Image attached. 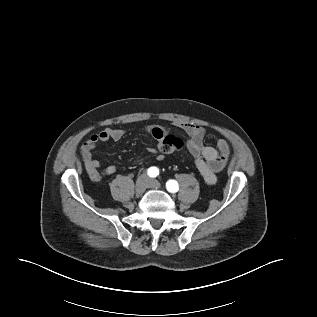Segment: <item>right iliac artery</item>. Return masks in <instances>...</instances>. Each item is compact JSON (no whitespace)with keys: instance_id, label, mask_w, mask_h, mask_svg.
Wrapping results in <instances>:
<instances>
[{"instance_id":"right-iliac-artery-1","label":"right iliac artery","mask_w":317,"mask_h":317,"mask_svg":"<svg viewBox=\"0 0 317 317\" xmlns=\"http://www.w3.org/2000/svg\"><path fill=\"white\" fill-rule=\"evenodd\" d=\"M147 174L150 176V177H156L157 175H159V170L157 167H150L148 170H147Z\"/></svg>"}]
</instances>
